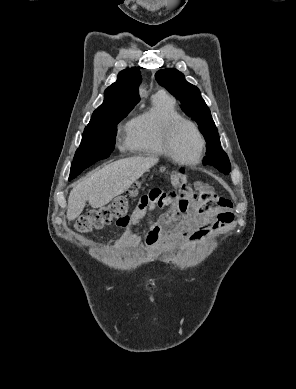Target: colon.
<instances>
[{
  "label": "colon",
  "instance_id": "obj_1",
  "mask_svg": "<svg viewBox=\"0 0 296 389\" xmlns=\"http://www.w3.org/2000/svg\"><path fill=\"white\" fill-rule=\"evenodd\" d=\"M170 178L172 185L178 189L181 195L190 194L194 189L199 192H207L210 189L200 181L192 184L184 170L172 171ZM136 195L137 189L132 188L125 195L116 197L109 204L89 210L79 218L77 229L80 232L89 233L112 222H116L118 225L125 224L128 219L127 211ZM154 196H157V193H154Z\"/></svg>",
  "mask_w": 296,
  "mask_h": 389
}]
</instances>
